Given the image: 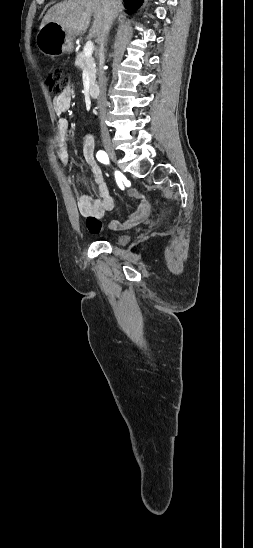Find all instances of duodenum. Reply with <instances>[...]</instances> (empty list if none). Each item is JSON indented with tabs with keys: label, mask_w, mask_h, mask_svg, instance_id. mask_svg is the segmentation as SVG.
I'll return each mask as SVG.
<instances>
[{
	"label": "duodenum",
	"mask_w": 253,
	"mask_h": 548,
	"mask_svg": "<svg viewBox=\"0 0 253 548\" xmlns=\"http://www.w3.org/2000/svg\"><path fill=\"white\" fill-rule=\"evenodd\" d=\"M89 95L91 98H98L99 96V88L97 86H92L90 89H89Z\"/></svg>",
	"instance_id": "410a0bca"
}]
</instances>
